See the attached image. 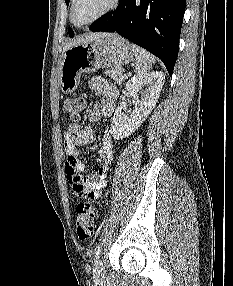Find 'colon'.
Listing matches in <instances>:
<instances>
[{"label": "colon", "mask_w": 233, "mask_h": 286, "mask_svg": "<svg viewBox=\"0 0 233 286\" xmlns=\"http://www.w3.org/2000/svg\"><path fill=\"white\" fill-rule=\"evenodd\" d=\"M86 106L84 95H74L63 103V112L72 121L80 120ZM97 208L88 202L79 203L76 207V231L79 239L86 240L94 233V221Z\"/></svg>", "instance_id": "obj_1"}]
</instances>
